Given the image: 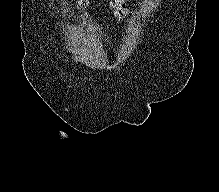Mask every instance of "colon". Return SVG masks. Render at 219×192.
I'll return each instance as SVG.
<instances>
[{
    "mask_svg": "<svg viewBox=\"0 0 219 192\" xmlns=\"http://www.w3.org/2000/svg\"><path fill=\"white\" fill-rule=\"evenodd\" d=\"M77 2L80 6H86L88 3V0H77Z\"/></svg>",
    "mask_w": 219,
    "mask_h": 192,
    "instance_id": "1",
    "label": "colon"
}]
</instances>
